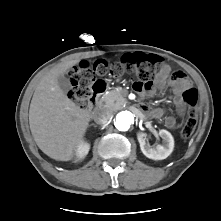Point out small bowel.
<instances>
[{"instance_id": "small-bowel-1", "label": "small bowel", "mask_w": 221, "mask_h": 221, "mask_svg": "<svg viewBox=\"0 0 221 221\" xmlns=\"http://www.w3.org/2000/svg\"><path fill=\"white\" fill-rule=\"evenodd\" d=\"M137 54L138 53L125 54L122 57V61L127 62ZM167 82L172 86L174 92L176 93V97L174 99L176 111L180 116H184L186 112V106L179 94L183 89L189 87L191 83L183 71L176 70L172 72L168 64H163L160 69L155 87L153 90L149 91L148 94L164 89ZM143 111L146 113V115L154 119H159L164 114V109L162 108L150 109L143 107ZM165 125L169 129H175L177 127V121L173 116H166Z\"/></svg>"}]
</instances>
